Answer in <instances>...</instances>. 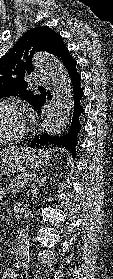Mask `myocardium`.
<instances>
[{"mask_svg":"<svg viewBox=\"0 0 113 279\" xmlns=\"http://www.w3.org/2000/svg\"><path fill=\"white\" fill-rule=\"evenodd\" d=\"M4 105L13 106L22 112V114L24 115V127L21 133H19L18 135L1 137L0 144H7V143L18 142L23 140L27 136L30 129V114L27 106L23 102L14 99L0 100V106H4Z\"/></svg>","mask_w":113,"mask_h":279,"instance_id":"obj_1","label":"myocardium"}]
</instances>
